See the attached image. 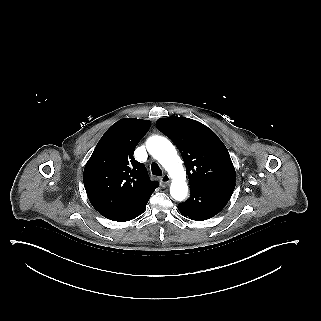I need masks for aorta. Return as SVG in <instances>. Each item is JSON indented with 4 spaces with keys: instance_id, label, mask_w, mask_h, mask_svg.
Wrapping results in <instances>:
<instances>
[{
    "instance_id": "obj_1",
    "label": "aorta",
    "mask_w": 321,
    "mask_h": 321,
    "mask_svg": "<svg viewBox=\"0 0 321 321\" xmlns=\"http://www.w3.org/2000/svg\"><path fill=\"white\" fill-rule=\"evenodd\" d=\"M148 152L168 171L172 177L170 194L177 201H183L188 193L186 172L183 162L172 143L162 136H152L146 142Z\"/></svg>"
}]
</instances>
